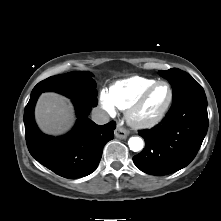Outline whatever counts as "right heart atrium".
Segmentation results:
<instances>
[{"mask_svg": "<svg viewBox=\"0 0 221 221\" xmlns=\"http://www.w3.org/2000/svg\"><path fill=\"white\" fill-rule=\"evenodd\" d=\"M100 104L103 107V109L108 112L109 114H113L115 112V105L110 99L109 93L105 90H102L100 92Z\"/></svg>", "mask_w": 221, "mask_h": 221, "instance_id": "1", "label": "right heart atrium"}]
</instances>
